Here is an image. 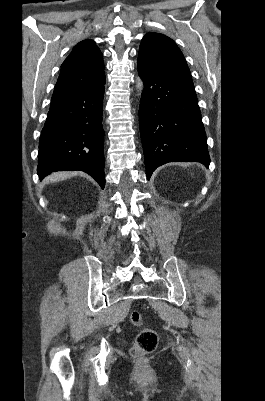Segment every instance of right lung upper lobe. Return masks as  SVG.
Returning <instances> with one entry per match:
<instances>
[{"label":"right lung upper lobe","instance_id":"right-lung-upper-lobe-1","mask_svg":"<svg viewBox=\"0 0 265 401\" xmlns=\"http://www.w3.org/2000/svg\"><path fill=\"white\" fill-rule=\"evenodd\" d=\"M105 83L103 55L93 40L79 42L61 65L52 100L94 90Z\"/></svg>","mask_w":265,"mask_h":401}]
</instances>
